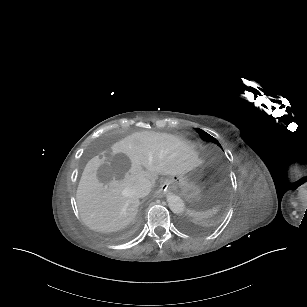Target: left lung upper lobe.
<instances>
[{
	"label": "left lung upper lobe",
	"mask_w": 307,
	"mask_h": 307,
	"mask_svg": "<svg viewBox=\"0 0 307 307\" xmlns=\"http://www.w3.org/2000/svg\"><path fill=\"white\" fill-rule=\"evenodd\" d=\"M197 132L200 134V137L204 140V141H211V142H214L216 143L218 146L221 147V145L219 144V142L214 138L212 137L211 135H209L208 133L204 132L203 130L197 128L196 129ZM222 148V147H221Z\"/></svg>",
	"instance_id": "1"
}]
</instances>
